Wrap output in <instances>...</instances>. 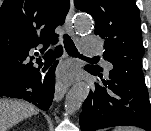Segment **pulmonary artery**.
I'll list each match as a JSON object with an SVG mask.
<instances>
[{
  "instance_id": "pulmonary-artery-1",
  "label": "pulmonary artery",
  "mask_w": 151,
  "mask_h": 131,
  "mask_svg": "<svg viewBox=\"0 0 151 131\" xmlns=\"http://www.w3.org/2000/svg\"><path fill=\"white\" fill-rule=\"evenodd\" d=\"M100 49V42L94 37H87L83 39L82 50L87 53H97ZM107 68H111L110 63H106Z\"/></svg>"
}]
</instances>
